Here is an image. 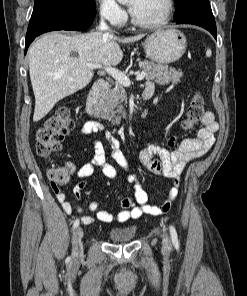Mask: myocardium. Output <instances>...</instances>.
<instances>
[{"instance_id": "1", "label": "myocardium", "mask_w": 247, "mask_h": 296, "mask_svg": "<svg viewBox=\"0 0 247 296\" xmlns=\"http://www.w3.org/2000/svg\"><path fill=\"white\" fill-rule=\"evenodd\" d=\"M164 13L160 19L154 22L144 23L137 20L134 15H131V22L134 26L141 28V29H157L166 25L173 13L174 9V2L173 0H164Z\"/></svg>"}]
</instances>
